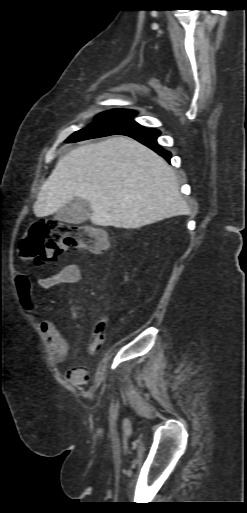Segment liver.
Masks as SVG:
<instances>
[{"mask_svg":"<svg viewBox=\"0 0 247 513\" xmlns=\"http://www.w3.org/2000/svg\"><path fill=\"white\" fill-rule=\"evenodd\" d=\"M75 197L91 204L90 220L99 226L135 229L189 213L173 169L127 136L78 146L60 158L34 213L52 215Z\"/></svg>","mask_w":247,"mask_h":513,"instance_id":"obj_1","label":"liver"}]
</instances>
